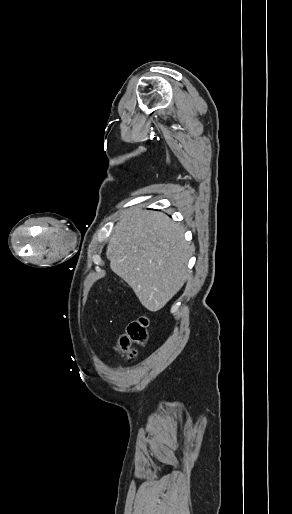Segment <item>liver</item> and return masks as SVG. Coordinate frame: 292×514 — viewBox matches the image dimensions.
<instances>
[{
  "instance_id": "1",
  "label": "liver",
  "mask_w": 292,
  "mask_h": 514,
  "mask_svg": "<svg viewBox=\"0 0 292 514\" xmlns=\"http://www.w3.org/2000/svg\"><path fill=\"white\" fill-rule=\"evenodd\" d=\"M114 230L106 252L111 270L131 286L144 308L158 312L187 280L194 250L183 228L161 212L129 210Z\"/></svg>"
}]
</instances>
